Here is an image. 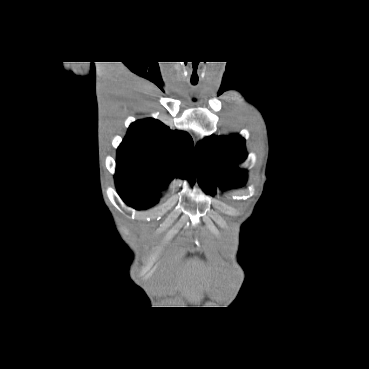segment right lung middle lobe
Returning a JSON list of instances; mask_svg holds the SVG:
<instances>
[{"label": "right lung middle lobe", "instance_id": "dd1d6c3e", "mask_svg": "<svg viewBox=\"0 0 369 369\" xmlns=\"http://www.w3.org/2000/svg\"><path fill=\"white\" fill-rule=\"evenodd\" d=\"M116 186L118 189V193L120 197L124 200V202L135 209H147L158 202L157 197L147 196L134 192L124 184L119 183L118 181H116Z\"/></svg>", "mask_w": 369, "mask_h": 369}]
</instances>
